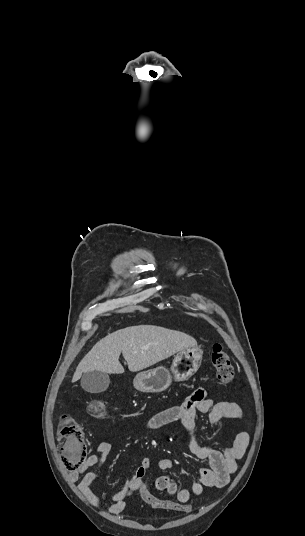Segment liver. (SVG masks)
<instances>
[{"label":"liver","mask_w":305,"mask_h":536,"mask_svg":"<svg viewBox=\"0 0 305 536\" xmlns=\"http://www.w3.org/2000/svg\"><path fill=\"white\" fill-rule=\"evenodd\" d=\"M195 346L196 340L183 332L159 326H130L97 342L78 364L72 382H78L82 374L94 370L103 374H123L124 368L119 362L121 352L128 370L140 372L170 358L176 352Z\"/></svg>","instance_id":"obj_1"}]
</instances>
